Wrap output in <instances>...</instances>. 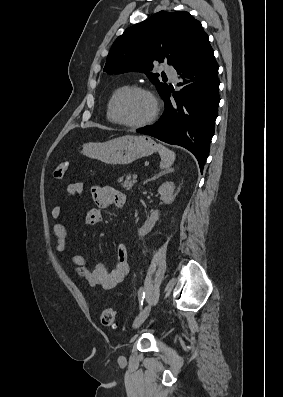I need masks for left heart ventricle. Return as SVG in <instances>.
Listing matches in <instances>:
<instances>
[{"label":"left heart ventricle","instance_id":"1","mask_svg":"<svg viewBox=\"0 0 283 397\" xmlns=\"http://www.w3.org/2000/svg\"><path fill=\"white\" fill-rule=\"evenodd\" d=\"M153 111V103L149 96L134 93L124 98L120 104L121 117L131 123L147 119Z\"/></svg>","mask_w":283,"mask_h":397}]
</instances>
